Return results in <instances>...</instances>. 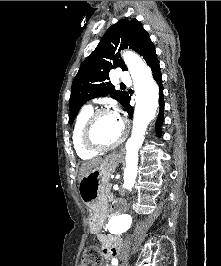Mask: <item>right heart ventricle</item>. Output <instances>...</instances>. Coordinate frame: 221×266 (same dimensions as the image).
<instances>
[{
	"label": "right heart ventricle",
	"mask_w": 221,
	"mask_h": 266,
	"mask_svg": "<svg viewBox=\"0 0 221 266\" xmlns=\"http://www.w3.org/2000/svg\"><path fill=\"white\" fill-rule=\"evenodd\" d=\"M91 112L92 108L90 106L82 108V110L79 112L76 118V122L73 128V134H72L73 146L77 155L82 159H90L97 154V152L87 149L82 142L83 126L85 124V121L91 114Z\"/></svg>",
	"instance_id": "e07e8e85"
}]
</instances>
